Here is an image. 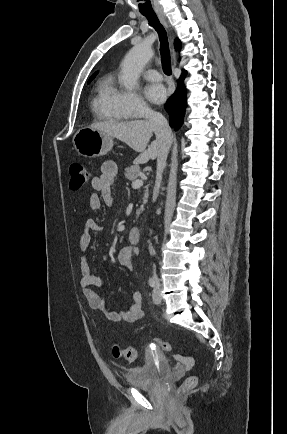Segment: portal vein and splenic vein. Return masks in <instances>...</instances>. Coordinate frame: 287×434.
I'll list each match as a JSON object with an SVG mask.
<instances>
[{
    "instance_id": "18ae733b",
    "label": "portal vein and splenic vein",
    "mask_w": 287,
    "mask_h": 434,
    "mask_svg": "<svg viewBox=\"0 0 287 434\" xmlns=\"http://www.w3.org/2000/svg\"><path fill=\"white\" fill-rule=\"evenodd\" d=\"M143 185L142 179H136L132 182V188H140Z\"/></svg>"
}]
</instances>
